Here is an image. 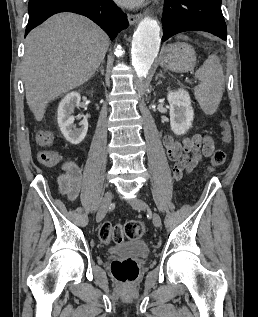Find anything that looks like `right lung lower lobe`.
Wrapping results in <instances>:
<instances>
[{
  "instance_id": "98d812e1",
  "label": "right lung lower lobe",
  "mask_w": 258,
  "mask_h": 317,
  "mask_svg": "<svg viewBox=\"0 0 258 317\" xmlns=\"http://www.w3.org/2000/svg\"><path fill=\"white\" fill-rule=\"evenodd\" d=\"M29 21L25 36L50 16L59 12L84 15L98 24L113 40L128 26L124 14L112 0H29Z\"/></svg>"
}]
</instances>
